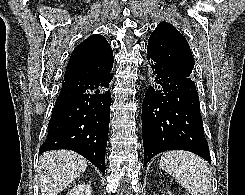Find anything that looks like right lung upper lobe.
<instances>
[{"instance_id":"cb5924a9","label":"right lung upper lobe","mask_w":245,"mask_h":195,"mask_svg":"<svg viewBox=\"0 0 245 195\" xmlns=\"http://www.w3.org/2000/svg\"><path fill=\"white\" fill-rule=\"evenodd\" d=\"M113 53L102 35H91L74 50L67 65L64 80L92 76L113 66Z\"/></svg>"}]
</instances>
